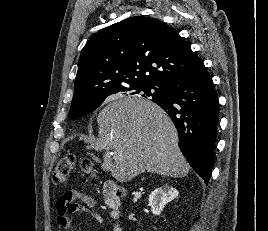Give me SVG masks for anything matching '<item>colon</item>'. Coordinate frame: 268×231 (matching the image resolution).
<instances>
[{
  "label": "colon",
  "mask_w": 268,
  "mask_h": 231,
  "mask_svg": "<svg viewBox=\"0 0 268 231\" xmlns=\"http://www.w3.org/2000/svg\"><path fill=\"white\" fill-rule=\"evenodd\" d=\"M75 159L73 156L61 158L54 166L52 180L55 184H64L67 182L71 170L74 166ZM81 168L85 173H94L96 170L91 166L88 160L81 162Z\"/></svg>",
  "instance_id": "5ec220e1"
}]
</instances>
